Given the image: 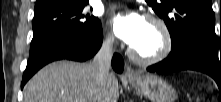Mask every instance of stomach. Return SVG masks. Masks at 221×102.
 <instances>
[{"mask_svg": "<svg viewBox=\"0 0 221 102\" xmlns=\"http://www.w3.org/2000/svg\"><path fill=\"white\" fill-rule=\"evenodd\" d=\"M129 83L152 102H174L177 97L174 88L156 75H141L135 80H129Z\"/></svg>", "mask_w": 221, "mask_h": 102, "instance_id": "0dacf381", "label": "stomach"}]
</instances>
